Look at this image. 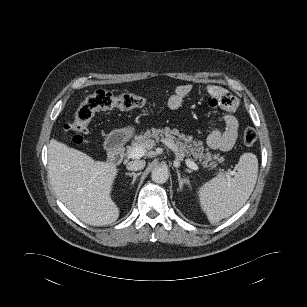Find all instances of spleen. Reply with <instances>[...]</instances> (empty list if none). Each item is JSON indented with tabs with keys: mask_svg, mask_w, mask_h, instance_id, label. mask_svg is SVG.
Returning <instances> with one entry per match:
<instances>
[{
	"mask_svg": "<svg viewBox=\"0 0 307 307\" xmlns=\"http://www.w3.org/2000/svg\"><path fill=\"white\" fill-rule=\"evenodd\" d=\"M258 176V159L255 154L244 153L237 164L233 178L219 174L203 184L199 190L202 210L211 223H217L236 213L249 199Z\"/></svg>",
	"mask_w": 307,
	"mask_h": 307,
	"instance_id": "spleen-1",
	"label": "spleen"
}]
</instances>
